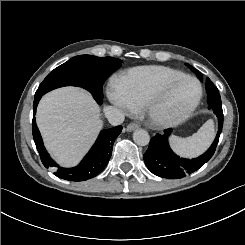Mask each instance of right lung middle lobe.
I'll use <instances>...</instances> for the list:
<instances>
[{
  "instance_id": "right-lung-middle-lobe-1",
  "label": "right lung middle lobe",
  "mask_w": 245,
  "mask_h": 245,
  "mask_svg": "<svg viewBox=\"0 0 245 245\" xmlns=\"http://www.w3.org/2000/svg\"><path fill=\"white\" fill-rule=\"evenodd\" d=\"M121 60L113 57L79 55L55 68L40 84L35 96H42L62 86H80L87 89L101 104L104 81L120 67Z\"/></svg>"
}]
</instances>
